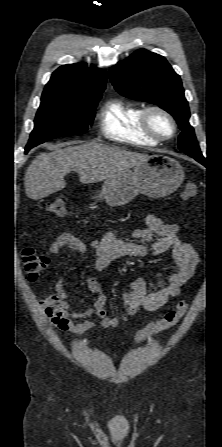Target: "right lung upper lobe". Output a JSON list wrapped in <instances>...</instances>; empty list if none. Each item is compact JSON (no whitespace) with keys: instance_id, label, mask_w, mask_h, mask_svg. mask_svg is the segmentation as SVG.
Wrapping results in <instances>:
<instances>
[{"instance_id":"right-lung-upper-lobe-1","label":"right lung upper lobe","mask_w":222,"mask_h":447,"mask_svg":"<svg viewBox=\"0 0 222 447\" xmlns=\"http://www.w3.org/2000/svg\"><path fill=\"white\" fill-rule=\"evenodd\" d=\"M107 74L105 70L87 67L86 63L59 67L46 84L44 91H57L75 96L102 95Z\"/></svg>"}]
</instances>
